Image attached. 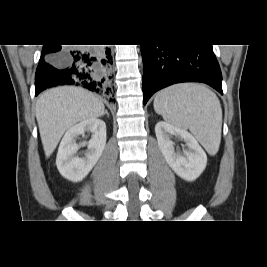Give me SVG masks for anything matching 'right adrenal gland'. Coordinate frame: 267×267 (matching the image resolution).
I'll use <instances>...</instances> for the list:
<instances>
[{"mask_svg":"<svg viewBox=\"0 0 267 267\" xmlns=\"http://www.w3.org/2000/svg\"><path fill=\"white\" fill-rule=\"evenodd\" d=\"M105 114L109 117V113L107 111H105Z\"/></svg>","mask_w":267,"mask_h":267,"instance_id":"1","label":"right adrenal gland"}]
</instances>
